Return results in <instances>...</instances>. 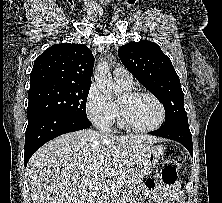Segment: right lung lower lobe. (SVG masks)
Here are the masks:
<instances>
[{
    "instance_id": "obj_1",
    "label": "right lung lower lobe",
    "mask_w": 222,
    "mask_h": 203,
    "mask_svg": "<svg viewBox=\"0 0 222 203\" xmlns=\"http://www.w3.org/2000/svg\"><path fill=\"white\" fill-rule=\"evenodd\" d=\"M90 125L88 118L59 114H41L28 119L25 132V167L34 152L49 140L68 132L85 129Z\"/></svg>"
}]
</instances>
